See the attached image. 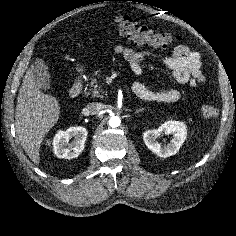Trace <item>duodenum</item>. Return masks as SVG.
<instances>
[{
  "instance_id": "duodenum-1",
  "label": "duodenum",
  "mask_w": 236,
  "mask_h": 236,
  "mask_svg": "<svg viewBox=\"0 0 236 236\" xmlns=\"http://www.w3.org/2000/svg\"><path fill=\"white\" fill-rule=\"evenodd\" d=\"M83 87H84V85H83L82 80H76L69 90V95L72 98L79 97L83 92Z\"/></svg>"
}]
</instances>
